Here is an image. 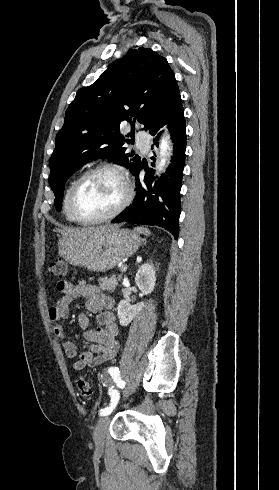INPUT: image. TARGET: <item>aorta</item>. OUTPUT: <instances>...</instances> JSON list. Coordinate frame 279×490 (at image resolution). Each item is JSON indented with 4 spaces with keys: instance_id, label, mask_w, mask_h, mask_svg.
<instances>
[{
    "instance_id": "obj_1",
    "label": "aorta",
    "mask_w": 279,
    "mask_h": 490,
    "mask_svg": "<svg viewBox=\"0 0 279 490\" xmlns=\"http://www.w3.org/2000/svg\"><path fill=\"white\" fill-rule=\"evenodd\" d=\"M171 146H170V141L169 138H163L160 142V163L158 165V170L161 172L166 164V158L168 155L171 153Z\"/></svg>"
}]
</instances>
